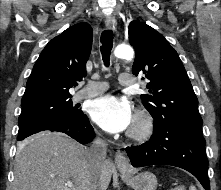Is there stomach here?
<instances>
[{"mask_svg": "<svg viewBox=\"0 0 221 190\" xmlns=\"http://www.w3.org/2000/svg\"><path fill=\"white\" fill-rule=\"evenodd\" d=\"M120 172L124 181L134 190H156L158 182L153 173L145 171L132 174L123 169H120Z\"/></svg>", "mask_w": 221, "mask_h": 190, "instance_id": "stomach-1", "label": "stomach"}]
</instances>
